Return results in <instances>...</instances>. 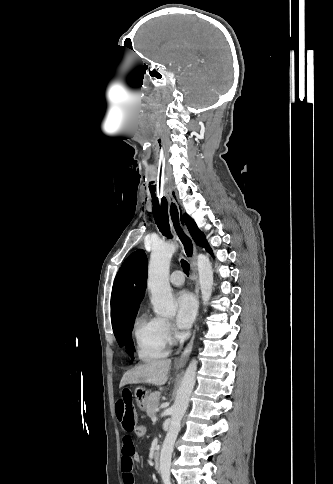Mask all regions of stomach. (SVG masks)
Returning a JSON list of instances; mask_svg holds the SVG:
<instances>
[{"label":"stomach","instance_id":"0dacf381","mask_svg":"<svg viewBox=\"0 0 333 484\" xmlns=\"http://www.w3.org/2000/svg\"><path fill=\"white\" fill-rule=\"evenodd\" d=\"M149 396L148 391L144 387H137L135 390V398L138 406L144 410L147 404V398Z\"/></svg>","mask_w":333,"mask_h":484}]
</instances>
